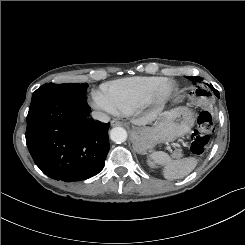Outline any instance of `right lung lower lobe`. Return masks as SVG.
<instances>
[{"instance_id":"1","label":"right lung lower lobe","mask_w":245,"mask_h":245,"mask_svg":"<svg viewBox=\"0 0 245 245\" xmlns=\"http://www.w3.org/2000/svg\"><path fill=\"white\" fill-rule=\"evenodd\" d=\"M85 96L49 94L31 101L26 143L35 164L55 180H85L104 167L108 127L89 118Z\"/></svg>"}]
</instances>
